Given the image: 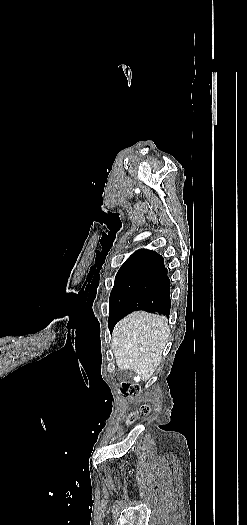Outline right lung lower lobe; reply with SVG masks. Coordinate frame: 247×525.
Returning a JSON list of instances; mask_svg holds the SVG:
<instances>
[{"mask_svg": "<svg viewBox=\"0 0 247 525\" xmlns=\"http://www.w3.org/2000/svg\"><path fill=\"white\" fill-rule=\"evenodd\" d=\"M170 308V280L164 266V259L159 255L125 299L119 318L109 329L112 331L115 324L132 311L145 310L169 315Z\"/></svg>", "mask_w": 247, "mask_h": 525, "instance_id": "1", "label": "right lung lower lobe"}]
</instances>
